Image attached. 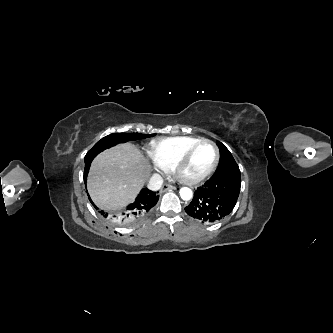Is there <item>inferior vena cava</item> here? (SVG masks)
<instances>
[{
  "label": "inferior vena cava",
  "mask_w": 333,
  "mask_h": 333,
  "mask_svg": "<svg viewBox=\"0 0 333 333\" xmlns=\"http://www.w3.org/2000/svg\"><path fill=\"white\" fill-rule=\"evenodd\" d=\"M163 178L159 174H153L148 182V188L152 191H157L162 187Z\"/></svg>",
  "instance_id": "inferior-vena-cava-1"
}]
</instances>
